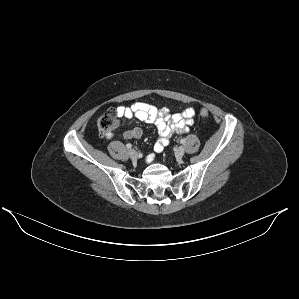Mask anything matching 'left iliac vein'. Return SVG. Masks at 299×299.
I'll list each match as a JSON object with an SVG mask.
<instances>
[{
	"label": "left iliac vein",
	"mask_w": 299,
	"mask_h": 299,
	"mask_svg": "<svg viewBox=\"0 0 299 299\" xmlns=\"http://www.w3.org/2000/svg\"><path fill=\"white\" fill-rule=\"evenodd\" d=\"M184 153H185V149H184L183 147H181V146L178 147V148L175 150V155H176V157H178V158L183 157Z\"/></svg>",
	"instance_id": "4c4485c4"
}]
</instances>
